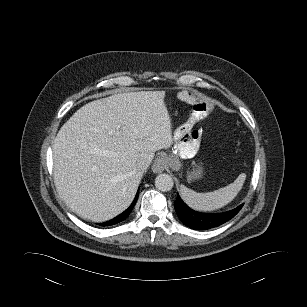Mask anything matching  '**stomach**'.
<instances>
[{
  "label": "stomach",
  "instance_id": "0dacf381",
  "mask_svg": "<svg viewBox=\"0 0 307 307\" xmlns=\"http://www.w3.org/2000/svg\"><path fill=\"white\" fill-rule=\"evenodd\" d=\"M200 133L189 134L185 138L175 136V152L166 157L167 166L178 171L182 167L181 159L191 158L199 148ZM203 166L200 163L193 162L192 168L187 171V180L195 181L203 176Z\"/></svg>",
  "mask_w": 307,
  "mask_h": 307
}]
</instances>
